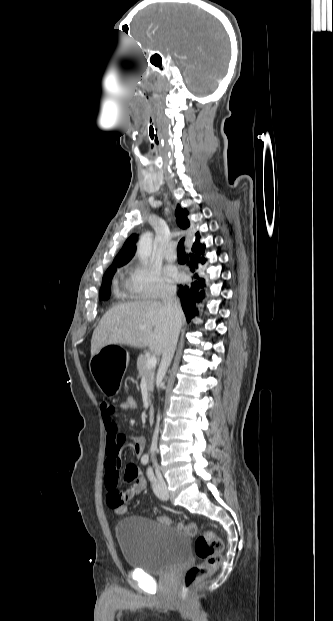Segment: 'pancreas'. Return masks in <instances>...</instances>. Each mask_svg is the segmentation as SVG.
<instances>
[{
    "label": "pancreas",
    "mask_w": 333,
    "mask_h": 621,
    "mask_svg": "<svg viewBox=\"0 0 333 621\" xmlns=\"http://www.w3.org/2000/svg\"><path fill=\"white\" fill-rule=\"evenodd\" d=\"M149 357L147 355L141 354L137 359V370L138 376L145 378L147 382V388L149 395L154 390V376H155V367L148 368L147 367V359Z\"/></svg>",
    "instance_id": "pancreas-1"
}]
</instances>
